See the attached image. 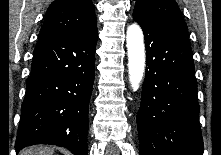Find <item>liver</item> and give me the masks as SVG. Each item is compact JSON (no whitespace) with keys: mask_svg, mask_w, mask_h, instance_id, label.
<instances>
[{"mask_svg":"<svg viewBox=\"0 0 221 155\" xmlns=\"http://www.w3.org/2000/svg\"><path fill=\"white\" fill-rule=\"evenodd\" d=\"M54 149L48 146L38 145L25 148L20 155H53Z\"/></svg>","mask_w":221,"mask_h":155,"instance_id":"1","label":"liver"}]
</instances>
